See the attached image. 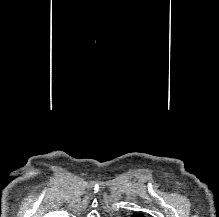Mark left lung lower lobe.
Masks as SVG:
<instances>
[{"label":"left lung lower lobe","instance_id":"1","mask_svg":"<svg viewBox=\"0 0 219 217\" xmlns=\"http://www.w3.org/2000/svg\"><path fill=\"white\" fill-rule=\"evenodd\" d=\"M132 217H145L143 213H135Z\"/></svg>","mask_w":219,"mask_h":217}]
</instances>
